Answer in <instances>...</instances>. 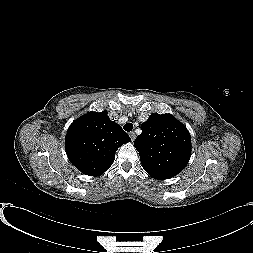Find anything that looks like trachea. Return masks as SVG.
<instances>
[{
	"label": "trachea",
	"mask_w": 253,
	"mask_h": 253,
	"mask_svg": "<svg viewBox=\"0 0 253 253\" xmlns=\"http://www.w3.org/2000/svg\"><path fill=\"white\" fill-rule=\"evenodd\" d=\"M124 130L127 131V132H130L132 131L133 129V124L132 123H126L124 126H123Z\"/></svg>",
	"instance_id": "obj_1"
}]
</instances>
